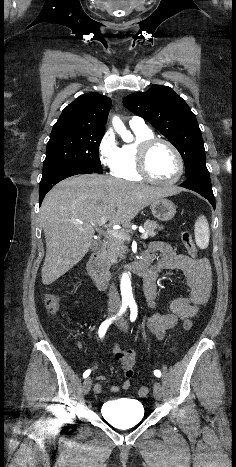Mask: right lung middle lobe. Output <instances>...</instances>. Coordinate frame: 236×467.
Masks as SVG:
<instances>
[{
	"mask_svg": "<svg viewBox=\"0 0 236 467\" xmlns=\"http://www.w3.org/2000/svg\"><path fill=\"white\" fill-rule=\"evenodd\" d=\"M104 131L53 128L47 144L43 171L61 165H78L103 173L99 145Z\"/></svg>",
	"mask_w": 236,
	"mask_h": 467,
	"instance_id": "dd1d6c3e",
	"label": "right lung middle lobe"
}]
</instances>
